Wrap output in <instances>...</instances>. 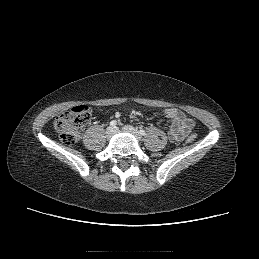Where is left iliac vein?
<instances>
[{"label":"left iliac vein","mask_w":259,"mask_h":259,"mask_svg":"<svg viewBox=\"0 0 259 259\" xmlns=\"http://www.w3.org/2000/svg\"><path fill=\"white\" fill-rule=\"evenodd\" d=\"M123 131L132 134L138 141H141V139H142L138 130L130 125L124 126Z\"/></svg>","instance_id":"left-iliac-vein-1"}]
</instances>
